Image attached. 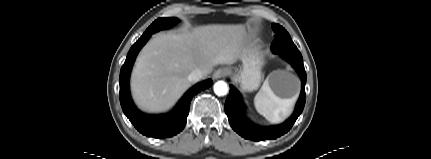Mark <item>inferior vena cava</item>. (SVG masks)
Instances as JSON below:
<instances>
[{"instance_id":"602c4592","label":"inferior vena cava","mask_w":431,"mask_h":159,"mask_svg":"<svg viewBox=\"0 0 431 159\" xmlns=\"http://www.w3.org/2000/svg\"><path fill=\"white\" fill-rule=\"evenodd\" d=\"M204 76H205L204 71H202L200 69H195L189 74L188 80L190 82H197V81L201 80Z\"/></svg>"}]
</instances>
